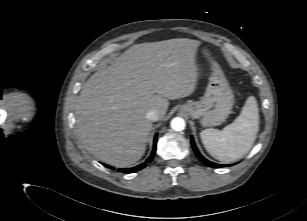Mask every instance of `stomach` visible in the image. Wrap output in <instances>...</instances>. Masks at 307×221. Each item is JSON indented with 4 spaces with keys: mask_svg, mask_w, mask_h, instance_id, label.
I'll list each match as a JSON object with an SVG mask.
<instances>
[{
    "mask_svg": "<svg viewBox=\"0 0 307 221\" xmlns=\"http://www.w3.org/2000/svg\"><path fill=\"white\" fill-rule=\"evenodd\" d=\"M203 53L208 55L206 48ZM210 76L204 96L199 101H189L179 107L193 119H199L204 127L222 124L234 105L233 91L223 72L213 60L210 62Z\"/></svg>",
    "mask_w": 307,
    "mask_h": 221,
    "instance_id": "0dacf381",
    "label": "stomach"
}]
</instances>
